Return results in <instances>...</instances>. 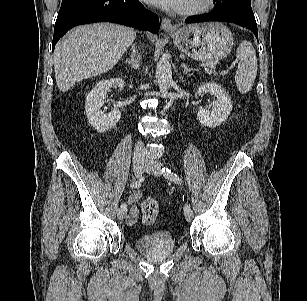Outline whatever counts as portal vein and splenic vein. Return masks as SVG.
Instances as JSON below:
<instances>
[{
	"instance_id": "18ae733b",
	"label": "portal vein and splenic vein",
	"mask_w": 307,
	"mask_h": 301,
	"mask_svg": "<svg viewBox=\"0 0 307 301\" xmlns=\"http://www.w3.org/2000/svg\"><path fill=\"white\" fill-rule=\"evenodd\" d=\"M203 68H214V63H206V64H201L200 65Z\"/></svg>"
}]
</instances>
